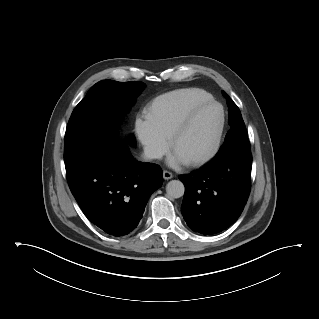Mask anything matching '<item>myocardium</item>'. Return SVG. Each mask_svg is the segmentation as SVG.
I'll return each mask as SVG.
<instances>
[{
    "instance_id": "obj_1",
    "label": "myocardium",
    "mask_w": 319,
    "mask_h": 319,
    "mask_svg": "<svg viewBox=\"0 0 319 319\" xmlns=\"http://www.w3.org/2000/svg\"><path fill=\"white\" fill-rule=\"evenodd\" d=\"M209 105L218 106L220 109V115H221L220 126H219L218 134L216 137L215 145H214L213 149L205 156H202L200 158H196V159H193L190 161H186L185 164L188 166L196 167V166L204 165V164L210 162L211 160H213L218 155V153L221 149V146H222L225 127H226V111H225L224 106L219 101L215 100L214 98H211L209 100H206V101H203V102H200V103L194 105L188 111L185 118L174 129V131L172 132V134L169 138L170 149L172 151H174L175 143L190 128L197 113Z\"/></svg>"
}]
</instances>
